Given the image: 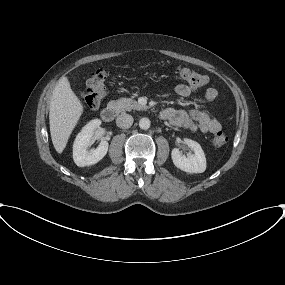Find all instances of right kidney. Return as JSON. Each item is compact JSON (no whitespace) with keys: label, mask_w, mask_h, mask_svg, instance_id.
Segmentation results:
<instances>
[{"label":"right kidney","mask_w":285,"mask_h":285,"mask_svg":"<svg viewBox=\"0 0 285 285\" xmlns=\"http://www.w3.org/2000/svg\"><path fill=\"white\" fill-rule=\"evenodd\" d=\"M100 125L101 120L94 119L77 135L73 144V159L77 166L85 167L96 164L107 154L109 144L106 140H102L96 149L87 150L95 129Z\"/></svg>","instance_id":"right-kidney-1"}]
</instances>
